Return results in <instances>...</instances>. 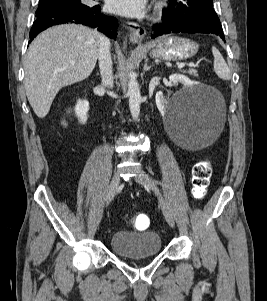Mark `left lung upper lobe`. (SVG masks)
Returning <instances> with one entry per match:
<instances>
[{"mask_svg":"<svg viewBox=\"0 0 267 301\" xmlns=\"http://www.w3.org/2000/svg\"><path fill=\"white\" fill-rule=\"evenodd\" d=\"M163 11V18L170 21H200L222 29L220 20L213 9V0H169Z\"/></svg>","mask_w":267,"mask_h":301,"instance_id":"left-lung-upper-lobe-1","label":"left lung upper lobe"}]
</instances>
